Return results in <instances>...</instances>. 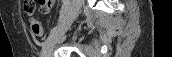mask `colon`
Instances as JSON below:
<instances>
[{"mask_svg":"<svg viewBox=\"0 0 172 57\" xmlns=\"http://www.w3.org/2000/svg\"><path fill=\"white\" fill-rule=\"evenodd\" d=\"M42 1L43 0H38V2H42ZM34 9H35L34 1H28V6L26 8V11L32 14ZM30 30L34 36H40L42 34L41 25L36 19H30Z\"/></svg>","mask_w":172,"mask_h":57,"instance_id":"obj_1","label":"colon"}]
</instances>
